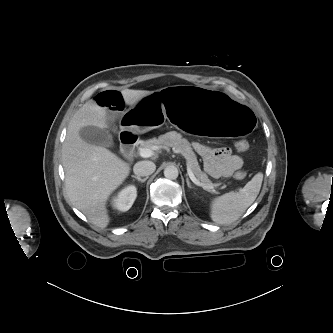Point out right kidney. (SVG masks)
Wrapping results in <instances>:
<instances>
[{
  "mask_svg": "<svg viewBox=\"0 0 333 333\" xmlns=\"http://www.w3.org/2000/svg\"><path fill=\"white\" fill-rule=\"evenodd\" d=\"M137 196V189L134 185L124 187L112 201L113 207L119 211H127L133 205Z\"/></svg>",
  "mask_w": 333,
  "mask_h": 333,
  "instance_id": "ca27d5eb",
  "label": "right kidney"
}]
</instances>
